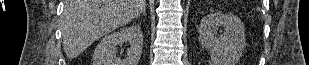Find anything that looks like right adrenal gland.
Masks as SVG:
<instances>
[{
    "instance_id": "obj_1",
    "label": "right adrenal gland",
    "mask_w": 309,
    "mask_h": 65,
    "mask_svg": "<svg viewBox=\"0 0 309 65\" xmlns=\"http://www.w3.org/2000/svg\"><path fill=\"white\" fill-rule=\"evenodd\" d=\"M142 14L145 16L146 15V8L143 9Z\"/></svg>"
}]
</instances>
